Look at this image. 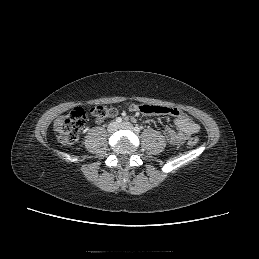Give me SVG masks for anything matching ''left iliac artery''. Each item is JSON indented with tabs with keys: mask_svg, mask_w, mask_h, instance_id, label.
Returning <instances> with one entry per match:
<instances>
[{
	"mask_svg": "<svg viewBox=\"0 0 259 259\" xmlns=\"http://www.w3.org/2000/svg\"><path fill=\"white\" fill-rule=\"evenodd\" d=\"M134 131H135L136 133H139V132H140V128H139L138 126H136V127H134Z\"/></svg>",
	"mask_w": 259,
	"mask_h": 259,
	"instance_id": "obj_1",
	"label": "left iliac artery"
}]
</instances>
